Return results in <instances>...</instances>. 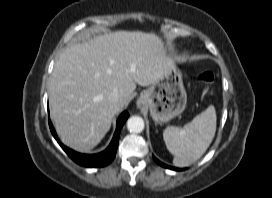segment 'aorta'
I'll list each match as a JSON object with an SVG mask.
<instances>
[{
	"label": "aorta",
	"mask_w": 272,
	"mask_h": 198,
	"mask_svg": "<svg viewBox=\"0 0 272 198\" xmlns=\"http://www.w3.org/2000/svg\"><path fill=\"white\" fill-rule=\"evenodd\" d=\"M127 129L132 133H140L144 129V120L139 116H132L127 121Z\"/></svg>",
	"instance_id": "1"
}]
</instances>
